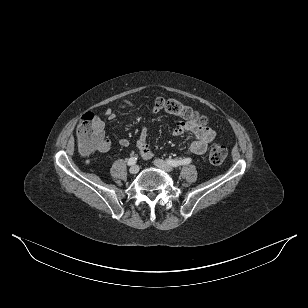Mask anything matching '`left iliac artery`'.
<instances>
[{
	"label": "left iliac artery",
	"mask_w": 308,
	"mask_h": 308,
	"mask_svg": "<svg viewBox=\"0 0 308 308\" xmlns=\"http://www.w3.org/2000/svg\"><path fill=\"white\" fill-rule=\"evenodd\" d=\"M191 162L190 158H185L182 160H173V159H169L167 160V163L173 167H179L181 165H187Z\"/></svg>",
	"instance_id": "left-iliac-artery-1"
}]
</instances>
